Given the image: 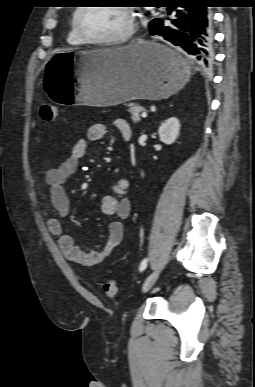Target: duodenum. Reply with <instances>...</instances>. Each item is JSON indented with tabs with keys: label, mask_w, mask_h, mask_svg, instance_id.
Here are the masks:
<instances>
[{
	"label": "duodenum",
	"mask_w": 255,
	"mask_h": 387,
	"mask_svg": "<svg viewBox=\"0 0 255 387\" xmlns=\"http://www.w3.org/2000/svg\"><path fill=\"white\" fill-rule=\"evenodd\" d=\"M123 138H124L125 140H128V139L130 138V136H129L128 134H125V135H123Z\"/></svg>",
	"instance_id": "1"
}]
</instances>
